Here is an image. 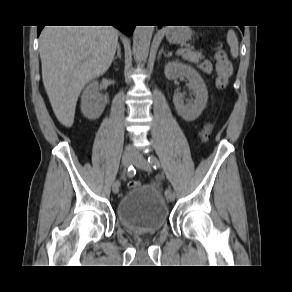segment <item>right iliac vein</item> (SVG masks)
Returning <instances> with one entry per match:
<instances>
[{
    "instance_id": "1",
    "label": "right iliac vein",
    "mask_w": 292,
    "mask_h": 292,
    "mask_svg": "<svg viewBox=\"0 0 292 292\" xmlns=\"http://www.w3.org/2000/svg\"><path fill=\"white\" fill-rule=\"evenodd\" d=\"M121 161H122L123 167L127 168L133 163V156L131 154H127V153L123 154ZM112 191L115 194L119 192V187H117V183L113 184Z\"/></svg>"
}]
</instances>
